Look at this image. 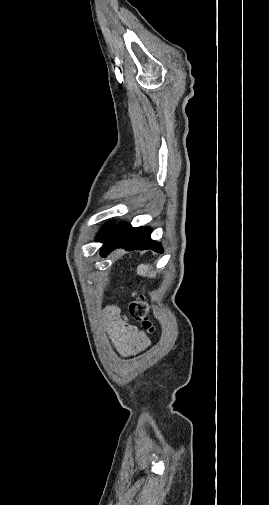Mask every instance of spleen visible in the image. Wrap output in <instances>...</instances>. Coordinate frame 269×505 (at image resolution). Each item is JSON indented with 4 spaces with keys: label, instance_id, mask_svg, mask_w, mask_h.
<instances>
[{
    "label": "spleen",
    "instance_id": "3e777b00",
    "mask_svg": "<svg viewBox=\"0 0 269 505\" xmlns=\"http://www.w3.org/2000/svg\"><path fill=\"white\" fill-rule=\"evenodd\" d=\"M137 274L140 276H148L150 278L156 277V272L151 271V266L149 264H141L137 267Z\"/></svg>",
    "mask_w": 269,
    "mask_h": 505
}]
</instances>
